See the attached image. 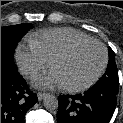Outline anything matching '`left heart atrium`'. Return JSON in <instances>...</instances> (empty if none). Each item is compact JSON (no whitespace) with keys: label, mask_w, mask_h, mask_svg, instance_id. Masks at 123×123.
Wrapping results in <instances>:
<instances>
[{"label":"left heart atrium","mask_w":123,"mask_h":123,"mask_svg":"<svg viewBox=\"0 0 123 123\" xmlns=\"http://www.w3.org/2000/svg\"><path fill=\"white\" fill-rule=\"evenodd\" d=\"M34 85L39 88H52L54 86H62L63 83L55 70L45 73L33 81Z\"/></svg>","instance_id":"left-heart-atrium-1"}]
</instances>
